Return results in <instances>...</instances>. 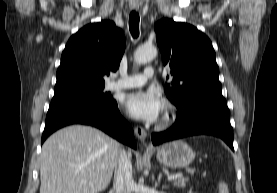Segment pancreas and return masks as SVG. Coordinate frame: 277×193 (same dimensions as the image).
<instances>
[{
	"label": "pancreas",
	"mask_w": 277,
	"mask_h": 193,
	"mask_svg": "<svg viewBox=\"0 0 277 193\" xmlns=\"http://www.w3.org/2000/svg\"><path fill=\"white\" fill-rule=\"evenodd\" d=\"M187 180V178H179L177 180H174L173 185L176 187H185Z\"/></svg>",
	"instance_id": "1"
}]
</instances>
